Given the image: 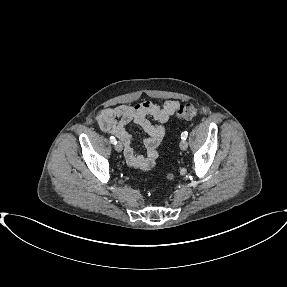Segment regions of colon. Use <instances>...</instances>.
Masks as SVG:
<instances>
[{"label":"colon","mask_w":287,"mask_h":287,"mask_svg":"<svg viewBox=\"0 0 287 287\" xmlns=\"http://www.w3.org/2000/svg\"><path fill=\"white\" fill-rule=\"evenodd\" d=\"M176 113L180 120H190L198 115V110L192 104H185L179 105L176 109ZM167 178L171 180L173 178V174L169 173Z\"/></svg>","instance_id":"obj_1"}]
</instances>
